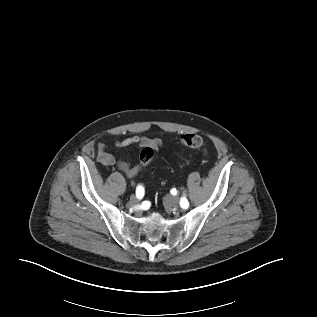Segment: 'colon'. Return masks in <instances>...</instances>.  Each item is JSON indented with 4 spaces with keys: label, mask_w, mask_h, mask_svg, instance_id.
Returning a JSON list of instances; mask_svg holds the SVG:
<instances>
[{
    "label": "colon",
    "mask_w": 317,
    "mask_h": 317,
    "mask_svg": "<svg viewBox=\"0 0 317 317\" xmlns=\"http://www.w3.org/2000/svg\"><path fill=\"white\" fill-rule=\"evenodd\" d=\"M181 143L183 146L196 149L201 147L203 141L202 138L197 134H184L181 136ZM154 148L150 145H146L140 152V164L146 166L154 157Z\"/></svg>",
    "instance_id": "5ec220e1"
}]
</instances>
